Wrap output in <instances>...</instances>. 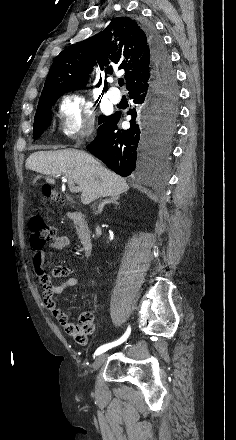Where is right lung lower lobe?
Instances as JSON below:
<instances>
[{"instance_id":"98d812e1","label":"right lung lower lobe","mask_w":236,"mask_h":440,"mask_svg":"<svg viewBox=\"0 0 236 440\" xmlns=\"http://www.w3.org/2000/svg\"><path fill=\"white\" fill-rule=\"evenodd\" d=\"M148 38L153 64L152 80L129 92L132 106L130 128L120 130L117 124L121 114L107 116L98 128L97 137L87 149L121 176L143 172L156 164L164 153L159 142L158 112L160 104L155 100L153 90L168 82L176 83L175 73L165 44L156 30L149 24H142Z\"/></svg>"}]
</instances>
